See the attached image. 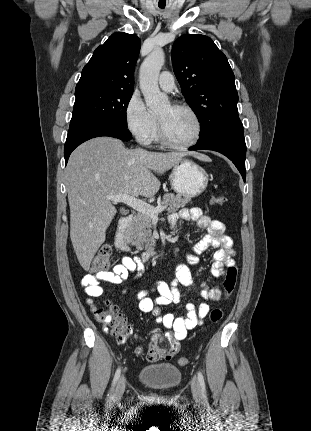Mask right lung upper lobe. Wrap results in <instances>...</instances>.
<instances>
[{
	"instance_id": "cb5924a9",
	"label": "right lung upper lobe",
	"mask_w": 311,
	"mask_h": 431,
	"mask_svg": "<svg viewBox=\"0 0 311 431\" xmlns=\"http://www.w3.org/2000/svg\"><path fill=\"white\" fill-rule=\"evenodd\" d=\"M140 44L136 35L112 34L84 66L76 91L88 88L133 91Z\"/></svg>"
}]
</instances>
